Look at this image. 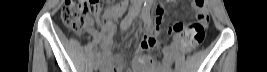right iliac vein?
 <instances>
[{
	"label": "right iliac vein",
	"mask_w": 267,
	"mask_h": 72,
	"mask_svg": "<svg viewBox=\"0 0 267 72\" xmlns=\"http://www.w3.org/2000/svg\"><path fill=\"white\" fill-rule=\"evenodd\" d=\"M99 67V59L95 60L94 62V69L97 70Z\"/></svg>",
	"instance_id": "1"
}]
</instances>
